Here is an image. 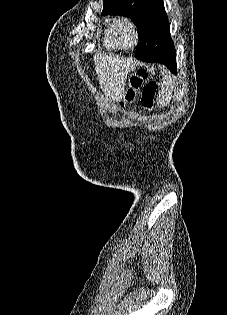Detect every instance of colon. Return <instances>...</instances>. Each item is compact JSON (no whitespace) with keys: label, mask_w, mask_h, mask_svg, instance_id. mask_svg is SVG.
Listing matches in <instances>:
<instances>
[{"label":"colon","mask_w":227,"mask_h":315,"mask_svg":"<svg viewBox=\"0 0 227 315\" xmlns=\"http://www.w3.org/2000/svg\"><path fill=\"white\" fill-rule=\"evenodd\" d=\"M139 91H141L142 106L146 109H152L157 92V84L153 80H147V72L144 69H139L130 75L124 101L133 102Z\"/></svg>","instance_id":"obj_1"}]
</instances>
